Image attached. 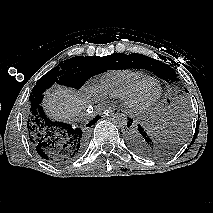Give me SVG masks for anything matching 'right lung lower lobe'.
I'll list each match as a JSON object with an SVG mask.
<instances>
[{"label": "right lung lower lobe", "mask_w": 213, "mask_h": 213, "mask_svg": "<svg viewBox=\"0 0 213 213\" xmlns=\"http://www.w3.org/2000/svg\"><path fill=\"white\" fill-rule=\"evenodd\" d=\"M43 94L30 101L27 114V132L39 156L54 164H65L79 157L85 149L90 127L100 118L96 116L85 127H75L50 119L41 102Z\"/></svg>", "instance_id": "right-lung-lower-lobe-1"}]
</instances>
